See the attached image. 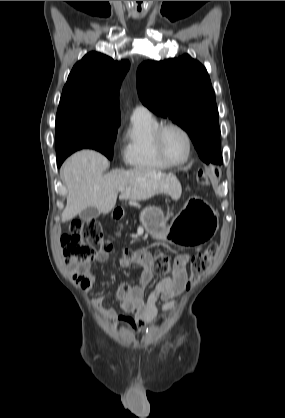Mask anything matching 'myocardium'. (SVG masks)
Segmentation results:
<instances>
[{
	"instance_id": "f54148a6",
	"label": "myocardium",
	"mask_w": 285,
	"mask_h": 418,
	"mask_svg": "<svg viewBox=\"0 0 285 418\" xmlns=\"http://www.w3.org/2000/svg\"><path fill=\"white\" fill-rule=\"evenodd\" d=\"M169 128H174L180 131L185 137L186 142H187L186 157L184 158V160L180 162L171 161L166 155L165 150L162 145V136L164 132ZM153 144L160 158L169 166H181V165L186 164L190 160L192 150H193V143H192V138H191L190 133L182 125L175 123V122H165V123L160 124L154 132Z\"/></svg>"
}]
</instances>
